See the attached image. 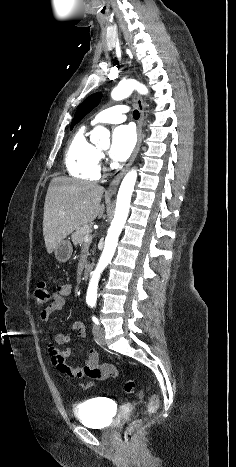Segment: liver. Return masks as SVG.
<instances>
[{"instance_id":"obj_1","label":"liver","mask_w":236,"mask_h":467,"mask_svg":"<svg viewBox=\"0 0 236 467\" xmlns=\"http://www.w3.org/2000/svg\"><path fill=\"white\" fill-rule=\"evenodd\" d=\"M104 188L96 183L66 178H53L46 194L43 216V235L47 252L74 230L101 218L104 204H100Z\"/></svg>"}]
</instances>
